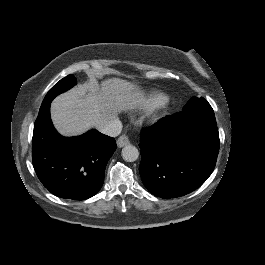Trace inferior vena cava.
I'll return each mask as SVG.
<instances>
[{
  "mask_svg": "<svg viewBox=\"0 0 265 265\" xmlns=\"http://www.w3.org/2000/svg\"><path fill=\"white\" fill-rule=\"evenodd\" d=\"M98 130L108 136L116 137L121 133L122 123L118 118H116L109 121L107 124L99 126Z\"/></svg>",
  "mask_w": 265,
  "mask_h": 265,
  "instance_id": "1",
  "label": "inferior vena cava"
}]
</instances>
